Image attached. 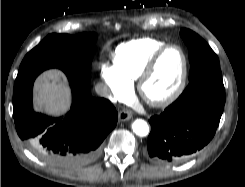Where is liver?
<instances>
[{"label": "liver", "mask_w": 245, "mask_h": 187, "mask_svg": "<svg viewBox=\"0 0 245 187\" xmlns=\"http://www.w3.org/2000/svg\"><path fill=\"white\" fill-rule=\"evenodd\" d=\"M36 108L49 114L59 115L70 105V90L61 74L48 71L35 83Z\"/></svg>", "instance_id": "liver-1"}]
</instances>
